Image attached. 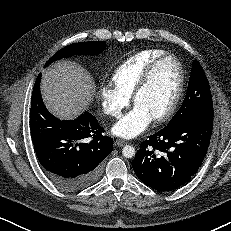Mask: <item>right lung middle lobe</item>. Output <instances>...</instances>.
Masks as SVG:
<instances>
[{
  "instance_id": "right-lung-middle-lobe-1",
  "label": "right lung middle lobe",
  "mask_w": 231,
  "mask_h": 231,
  "mask_svg": "<svg viewBox=\"0 0 231 231\" xmlns=\"http://www.w3.org/2000/svg\"><path fill=\"white\" fill-rule=\"evenodd\" d=\"M106 48L104 41H90L71 44L54 54L45 64V67L61 58H67L72 55H97Z\"/></svg>"
}]
</instances>
